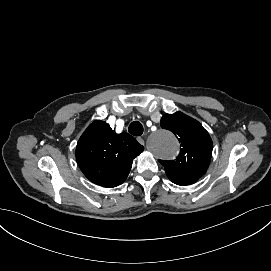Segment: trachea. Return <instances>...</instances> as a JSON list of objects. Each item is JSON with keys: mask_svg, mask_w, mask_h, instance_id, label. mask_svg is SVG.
Instances as JSON below:
<instances>
[{"mask_svg": "<svg viewBox=\"0 0 271 271\" xmlns=\"http://www.w3.org/2000/svg\"><path fill=\"white\" fill-rule=\"evenodd\" d=\"M128 131L134 136H140L143 134V126L140 122L134 121L130 124Z\"/></svg>", "mask_w": 271, "mask_h": 271, "instance_id": "trachea-1", "label": "trachea"}]
</instances>
